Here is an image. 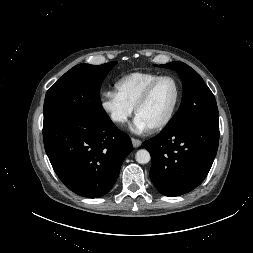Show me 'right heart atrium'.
<instances>
[{"label":"right heart atrium","mask_w":253,"mask_h":253,"mask_svg":"<svg viewBox=\"0 0 253 253\" xmlns=\"http://www.w3.org/2000/svg\"><path fill=\"white\" fill-rule=\"evenodd\" d=\"M100 105L109 118L117 125H123L132 115L133 109L113 91L101 95Z\"/></svg>","instance_id":"right-heart-atrium-1"}]
</instances>
